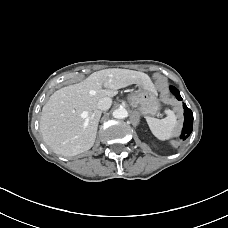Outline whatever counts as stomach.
Here are the masks:
<instances>
[{"label": "stomach", "mask_w": 228, "mask_h": 228, "mask_svg": "<svg viewBox=\"0 0 228 228\" xmlns=\"http://www.w3.org/2000/svg\"><path fill=\"white\" fill-rule=\"evenodd\" d=\"M129 104L145 115H156L159 112L160 104L155 91L140 89L128 97Z\"/></svg>", "instance_id": "obj_1"}]
</instances>
